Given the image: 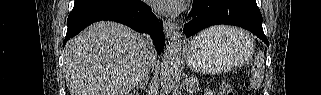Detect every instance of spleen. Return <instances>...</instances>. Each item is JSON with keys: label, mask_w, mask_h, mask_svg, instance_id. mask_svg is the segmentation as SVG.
<instances>
[{"label": "spleen", "mask_w": 321, "mask_h": 95, "mask_svg": "<svg viewBox=\"0 0 321 95\" xmlns=\"http://www.w3.org/2000/svg\"><path fill=\"white\" fill-rule=\"evenodd\" d=\"M234 28L226 27V26H218L210 28L209 30L204 31L203 33L221 35L225 33H230L234 31ZM265 72V60L264 54L262 52H258L255 56V59L252 63V76H251V85L253 88H259Z\"/></svg>", "instance_id": "obj_1"}]
</instances>
